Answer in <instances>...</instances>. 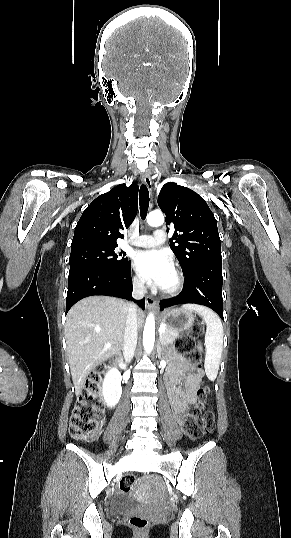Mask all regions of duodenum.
I'll list each match as a JSON object with an SVG mask.
<instances>
[{
	"instance_id": "410a0bca",
	"label": "duodenum",
	"mask_w": 291,
	"mask_h": 538,
	"mask_svg": "<svg viewBox=\"0 0 291 538\" xmlns=\"http://www.w3.org/2000/svg\"><path fill=\"white\" fill-rule=\"evenodd\" d=\"M118 360H121V357H118ZM118 364H121V361H118ZM114 368H119V365H114ZM114 384H117V381H114Z\"/></svg>"
}]
</instances>
